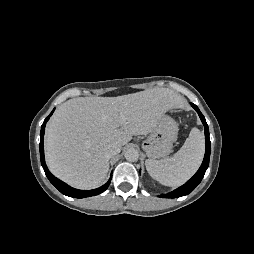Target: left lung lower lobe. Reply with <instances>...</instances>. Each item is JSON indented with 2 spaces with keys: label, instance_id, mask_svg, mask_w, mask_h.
I'll return each mask as SVG.
<instances>
[{
  "label": "left lung lower lobe",
  "instance_id": "1",
  "mask_svg": "<svg viewBox=\"0 0 254 254\" xmlns=\"http://www.w3.org/2000/svg\"><path fill=\"white\" fill-rule=\"evenodd\" d=\"M191 106L197 111V113L204 125V129H205L206 151H205L204 160H203L202 165L200 166L199 170L196 172V174L190 180H188L184 185H182L181 187H179L176 190L169 192L167 194H161L159 197L178 198V197H181V196L191 193L197 187V185L201 182V180L204 177V174L209 166L211 144H210V138H209L208 125L206 123L205 117L200 112L198 107L193 103H191Z\"/></svg>",
  "mask_w": 254,
  "mask_h": 254
}]
</instances>
